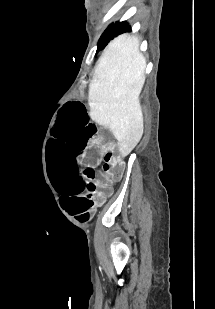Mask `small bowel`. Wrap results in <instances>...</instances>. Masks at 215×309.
Wrapping results in <instances>:
<instances>
[{
  "mask_svg": "<svg viewBox=\"0 0 215 309\" xmlns=\"http://www.w3.org/2000/svg\"><path fill=\"white\" fill-rule=\"evenodd\" d=\"M99 190L96 193L95 199L98 205H101L105 198L112 193V188L109 186L108 182H97L96 183Z\"/></svg>",
  "mask_w": 215,
  "mask_h": 309,
  "instance_id": "obj_1",
  "label": "small bowel"
}]
</instances>
